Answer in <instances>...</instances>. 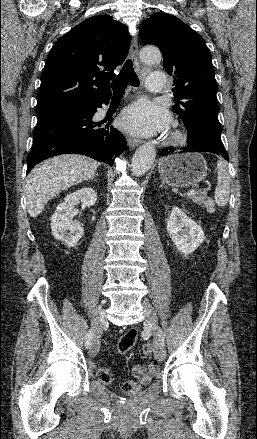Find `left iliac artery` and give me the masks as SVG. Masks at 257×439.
<instances>
[{
  "mask_svg": "<svg viewBox=\"0 0 257 439\" xmlns=\"http://www.w3.org/2000/svg\"><path fill=\"white\" fill-rule=\"evenodd\" d=\"M159 338H160V340L163 342V344H164V334H163V332H162V330L160 329L159 330Z\"/></svg>",
  "mask_w": 257,
  "mask_h": 439,
  "instance_id": "1",
  "label": "left iliac artery"
}]
</instances>
